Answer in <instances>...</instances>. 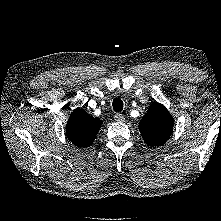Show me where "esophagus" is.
Segmentation results:
<instances>
[{
  "instance_id": "1",
  "label": "esophagus",
  "mask_w": 221,
  "mask_h": 221,
  "mask_svg": "<svg viewBox=\"0 0 221 221\" xmlns=\"http://www.w3.org/2000/svg\"><path fill=\"white\" fill-rule=\"evenodd\" d=\"M114 120L117 121V122H123L125 120V117L121 113H116L114 115Z\"/></svg>"
}]
</instances>
